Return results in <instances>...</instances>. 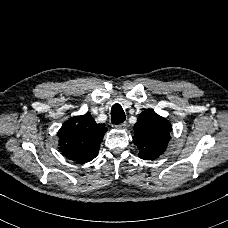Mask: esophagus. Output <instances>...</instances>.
<instances>
[{
  "label": "esophagus",
  "instance_id": "esophagus-1",
  "mask_svg": "<svg viewBox=\"0 0 228 228\" xmlns=\"http://www.w3.org/2000/svg\"><path fill=\"white\" fill-rule=\"evenodd\" d=\"M119 129H127L128 123L127 122H122L117 126Z\"/></svg>",
  "mask_w": 228,
  "mask_h": 228
}]
</instances>
